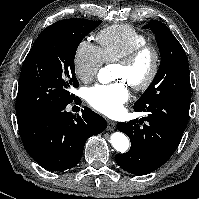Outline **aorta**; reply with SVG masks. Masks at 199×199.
Wrapping results in <instances>:
<instances>
[{
	"mask_svg": "<svg viewBox=\"0 0 199 199\" xmlns=\"http://www.w3.org/2000/svg\"><path fill=\"white\" fill-rule=\"evenodd\" d=\"M98 80L101 83H108L111 80L110 72L107 68H102L98 73ZM110 142L115 150L124 153L129 149V140L127 136L121 132H115L111 135Z\"/></svg>",
	"mask_w": 199,
	"mask_h": 199,
	"instance_id": "aorta-1",
	"label": "aorta"
}]
</instances>
